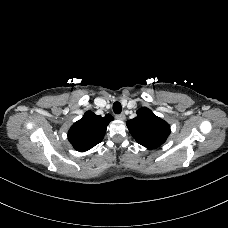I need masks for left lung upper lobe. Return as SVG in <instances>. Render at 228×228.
I'll list each match as a JSON object with an SVG mask.
<instances>
[{
    "mask_svg": "<svg viewBox=\"0 0 228 228\" xmlns=\"http://www.w3.org/2000/svg\"><path fill=\"white\" fill-rule=\"evenodd\" d=\"M126 124L134 139L148 149L161 146L170 134L169 124L146 107L140 108Z\"/></svg>",
    "mask_w": 228,
    "mask_h": 228,
    "instance_id": "obj_1",
    "label": "left lung upper lobe"
}]
</instances>
